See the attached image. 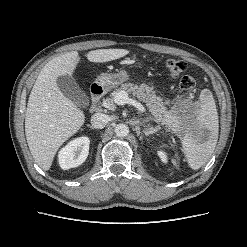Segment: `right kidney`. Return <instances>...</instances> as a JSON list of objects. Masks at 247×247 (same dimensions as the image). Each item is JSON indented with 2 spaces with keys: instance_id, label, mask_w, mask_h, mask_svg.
I'll return each mask as SVG.
<instances>
[{
  "instance_id": "obj_1",
  "label": "right kidney",
  "mask_w": 247,
  "mask_h": 247,
  "mask_svg": "<svg viewBox=\"0 0 247 247\" xmlns=\"http://www.w3.org/2000/svg\"><path fill=\"white\" fill-rule=\"evenodd\" d=\"M90 140L88 137H79L70 141L58 154V162L63 170L81 165L89 154Z\"/></svg>"
}]
</instances>
